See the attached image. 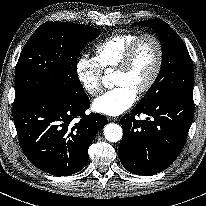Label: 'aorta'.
Here are the masks:
<instances>
[{"label": "aorta", "instance_id": "aorta-1", "mask_svg": "<svg viewBox=\"0 0 206 206\" xmlns=\"http://www.w3.org/2000/svg\"><path fill=\"white\" fill-rule=\"evenodd\" d=\"M106 78L104 83H106ZM104 136L110 142H118L123 136L122 127L115 123H109L104 127Z\"/></svg>", "mask_w": 206, "mask_h": 206}]
</instances>
